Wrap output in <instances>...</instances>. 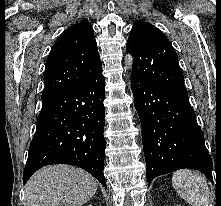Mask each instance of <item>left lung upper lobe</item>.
Instances as JSON below:
<instances>
[{"instance_id": "5c2ea615", "label": "left lung upper lobe", "mask_w": 221, "mask_h": 206, "mask_svg": "<svg viewBox=\"0 0 221 206\" xmlns=\"http://www.w3.org/2000/svg\"><path fill=\"white\" fill-rule=\"evenodd\" d=\"M126 50L134 57L131 77L188 95L178 56L169 40L155 26L143 20L136 21Z\"/></svg>"}]
</instances>
